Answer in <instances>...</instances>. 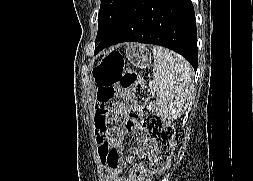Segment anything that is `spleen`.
I'll return each mask as SVG.
<instances>
[{"mask_svg": "<svg viewBox=\"0 0 253 181\" xmlns=\"http://www.w3.org/2000/svg\"><path fill=\"white\" fill-rule=\"evenodd\" d=\"M152 52L154 80L150 89L157 95L155 109L162 118L177 119L193 89L192 67L183 57L163 47L154 46Z\"/></svg>", "mask_w": 253, "mask_h": 181, "instance_id": "3e777b00", "label": "spleen"}]
</instances>
